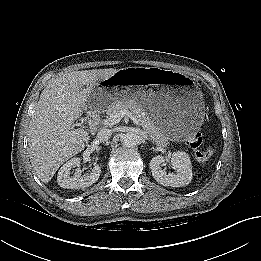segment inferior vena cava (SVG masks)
<instances>
[{"mask_svg": "<svg viewBox=\"0 0 261 261\" xmlns=\"http://www.w3.org/2000/svg\"><path fill=\"white\" fill-rule=\"evenodd\" d=\"M112 136V130L111 129H101L97 133V140L100 142H107Z\"/></svg>", "mask_w": 261, "mask_h": 261, "instance_id": "602c4592", "label": "inferior vena cava"}]
</instances>
